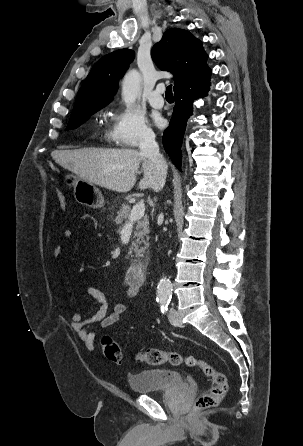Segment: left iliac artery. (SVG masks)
Returning <instances> with one entry per match:
<instances>
[{
  "label": "left iliac artery",
  "instance_id": "obj_1",
  "mask_svg": "<svg viewBox=\"0 0 303 446\" xmlns=\"http://www.w3.org/2000/svg\"><path fill=\"white\" fill-rule=\"evenodd\" d=\"M161 312L165 314L168 310L169 300H162L160 302Z\"/></svg>",
  "mask_w": 303,
  "mask_h": 446
}]
</instances>
